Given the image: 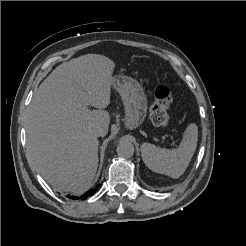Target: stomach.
Returning <instances> with one entry per match:
<instances>
[{
    "instance_id": "0dacf381",
    "label": "stomach",
    "mask_w": 246,
    "mask_h": 246,
    "mask_svg": "<svg viewBox=\"0 0 246 246\" xmlns=\"http://www.w3.org/2000/svg\"><path fill=\"white\" fill-rule=\"evenodd\" d=\"M113 87L119 92L125 108V121L129 129L142 124L147 113V99L142 86L131 77L115 76Z\"/></svg>"
}]
</instances>
